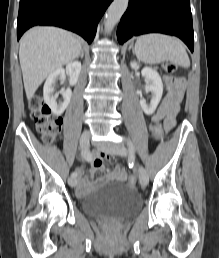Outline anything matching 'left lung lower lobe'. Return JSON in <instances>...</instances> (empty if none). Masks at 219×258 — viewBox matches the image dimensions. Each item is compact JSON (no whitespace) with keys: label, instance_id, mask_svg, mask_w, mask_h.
<instances>
[{"label":"left lung lower lobe","instance_id":"left-lung-lower-lobe-1","mask_svg":"<svg viewBox=\"0 0 219 258\" xmlns=\"http://www.w3.org/2000/svg\"><path fill=\"white\" fill-rule=\"evenodd\" d=\"M153 32L175 35L193 52L189 0H131L117 28L118 42L123 44L132 36Z\"/></svg>","mask_w":219,"mask_h":258}]
</instances>
